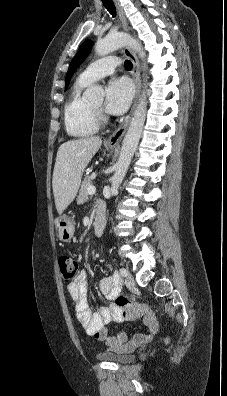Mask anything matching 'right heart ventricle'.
Masks as SVG:
<instances>
[{
	"mask_svg": "<svg viewBox=\"0 0 227 396\" xmlns=\"http://www.w3.org/2000/svg\"><path fill=\"white\" fill-rule=\"evenodd\" d=\"M88 85V82L78 78L64 107L65 128L72 137H87L96 133L99 129V122L92 105L82 95L83 90Z\"/></svg>",
	"mask_w": 227,
	"mask_h": 396,
	"instance_id": "1",
	"label": "right heart ventricle"
}]
</instances>
